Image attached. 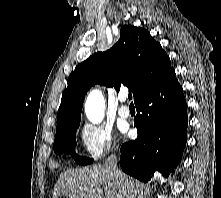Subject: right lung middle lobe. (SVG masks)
I'll return each mask as SVG.
<instances>
[{
	"instance_id": "dd1d6c3e",
	"label": "right lung middle lobe",
	"mask_w": 221,
	"mask_h": 198,
	"mask_svg": "<svg viewBox=\"0 0 221 198\" xmlns=\"http://www.w3.org/2000/svg\"><path fill=\"white\" fill-rule=\"evenodd\" d=\"M77 128L78 127H74L67 131L56 134L53 145L54 152L57 153L58 155L62 153L66 154L70 153L78 164L87 165L92 163L93 159L86 157L82 158L75 153V146H76L75 132Z\"/></svg>"
}]
</instances>
